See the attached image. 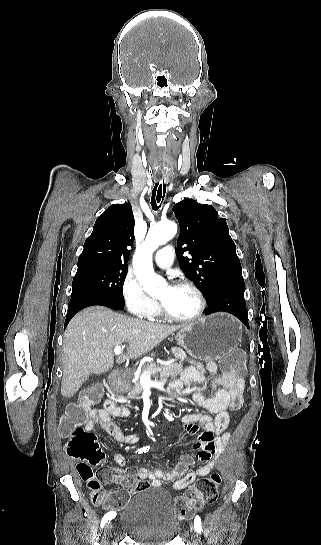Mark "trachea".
<instances>
[{
  "mask_svg": "<svg viewBox=\"0 0 321 545\" xmlns=\"http://www.w3.org/2000/svg\"><path fill=\"white\" fill-rule=\"evenodd\" d=\"M159 162V167L161 168L159 171L162 173L164 170L162 168L166 167L167 158L166 155L163 153L161 155ZM166 181L167 178L165 174H154L152 178V197H151V206L153 210H157L164 199L165 192H166Z\"/></svg>",
  "mask_w": 321,
  "mask_h": 545,
  "instance_id": "trachea-1",
  "label": "trachea"
}]
</instances>
